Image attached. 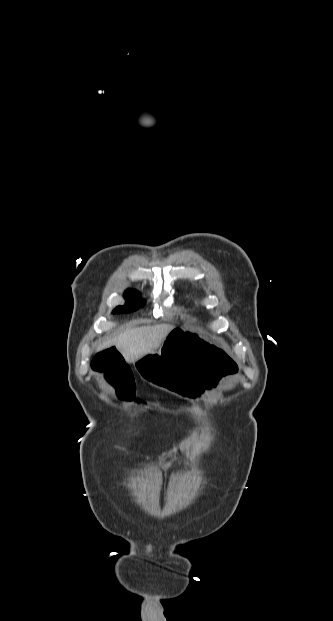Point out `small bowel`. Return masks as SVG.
Segmentation results:
<instances>
[{
  "label": "small bowel",
  "instance_id": "small-bowel-1",
  "mask_svg": "<svg viewBox=\"0 0 333 621\" xmlns=\"http://www.w3.org/2000/svg\"><path fill=\"white\" fill-rule=\"evenodd\" d=\"M91 367L103 375L121 399L134 398L136 386L132 370L116 347H109L96 354Z\"/></svg>",
  "mask_w": 333,
  "mask_h": 621
}]
</instances>
